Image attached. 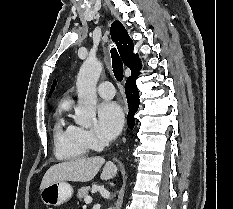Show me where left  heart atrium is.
<instances>
[{
	"label": "left heart atrium",
	"mask_w": 233,
	"mask_h": 209,
	"mask_svg": "<svg viewBox=\"0 0 233 209\" xmlns=\"http://www.w3.org/2000/svg\"><path fill=\"white\" fill-rule=\"evenodd\" d=\"M123 123V111L116 102L105 101L98 106L96 130L101 138L105 140L115 138L121 131Z\"/></svg>",
	"instance_id": "obj_1"
}]
</instances>
